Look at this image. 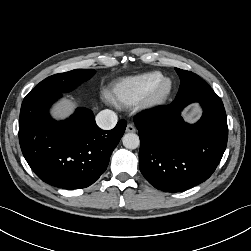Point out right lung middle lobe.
<instances>
[{
	"instance_id": "obj_1",
	"label": "right lung middle lobe",
	"mask_w": 251,
	"mask_h": 251,
	"mask_svg": "<svg viewBox=\"0 0 251 251\" xmlns=\"http://www.w3.org/2000/svg\"><path fill=\"white\" fill-rule=\"evenodd\" d=\"M94 74V69H75L55 74L44 79L32 91L70 92L82 82L89 80Z\"/></svg>"
}]
</instances>
